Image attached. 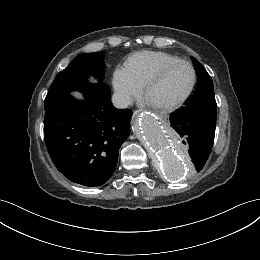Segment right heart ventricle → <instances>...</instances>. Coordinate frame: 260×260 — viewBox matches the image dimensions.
Here are the masks:
<instances>
[{"label":"right heart ventricle","mask_w":260,"mask_h":260,"mask_svg":"<svg viewBox=\"0 0 260 260\" xmlns=\"http://www.w3.org/2000/svg\"><path fill=\"white\" fill-rule=\"evenodd\" d=\"M180 60L179 57L157 51H141L131 55L124 70L137 83L144 85L163 65Z\"/></svg>","instance_id":"obj_1"}]
</instances>
